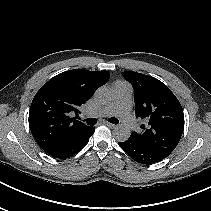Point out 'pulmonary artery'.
<instances>
[{
	"label": "pulmonary artery",
	"instance_id": "1",
	"mask_svg": "<svg viewBox=\"0 0 211 211\" xmlns=\"http://www.w3.org/2000/svg\"><path fill=\"white\" fill-rule=\"evenodd\" d=\"M114 98L111 103L100 108L93 116L118 117L129 129H135L137 123L131 114L132 86L123 81L116 82L113 86Z\"/></svg>",
	"mask_w": 211,
	"mask_h": 211
}]
</instances>
